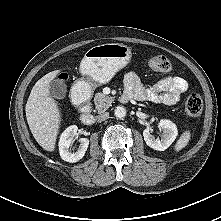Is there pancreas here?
Masks as SVG:
<instances>
[{"label": "pancreas", "instance_id": "obj_1", "mask_svg": "<svg viewBox=\"0 0 221 221\" xmlns=\"http://www.w3.org/2000/svg\"><path fill=\"white\" fill-rule=\"evenodd\" d=\"M114 101L113 97L107 96L104 93H96L94 97V103L98 112H103L107 110L111 103Z\"/></svg>", "mask_w": 221, "mask_h": 221}]
</instances>
